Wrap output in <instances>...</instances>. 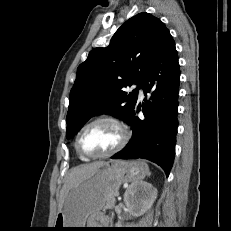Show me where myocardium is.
<instances>
[{
    "label": "myocardium",
    "instance_id": "1",
    "mask_svg": "<svg viewBox=\"0 0 231 231\" xmlns=\"http://www.w3.org/2000/svg\"><path fill=\"white\" fill-rule=\"evenodd\" d=\"M100 122H108V123L114 124L120 131V134H121L120 141L118 142V144L114 148H112L111 150H109L105 153L97 154V155L86 154L85 152H83V150L81 149V146H80L81 136L88 127H90L96 123H100ZM129 138H130V132H129L127 126L120 119H118L116 117H112V116H101V117H97V118L89 121L87 124H85L81 128V130L78 132L76 139H75V149H76V152L81 157H83L85 159L105 158V157L112 156V155L118 153L119 151H121L125 147L127 142L129 141Z\"/></svg>",
    "mask_w": 231,
    "mask_h": 231
}]
</instances>
